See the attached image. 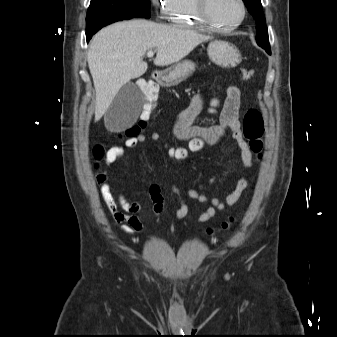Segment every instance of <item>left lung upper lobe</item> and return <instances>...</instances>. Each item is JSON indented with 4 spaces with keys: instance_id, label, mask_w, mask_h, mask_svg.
Masks as SVG:
<instances>
[{
    "instance_id": "1",
    "label": "left lung upper lobe",
    "mask_w": 337,
    "mask_h": 337,
    "mask_svg": "<svg viewBox=\"0 0 337 337\" xmlns=\"http://www.w3.org/2000/svg\"><path fill=\"white\" fill-rule=\"evenodd\" d=\"M248 8V11L253 15L257 22V44L266 50L268 54L271 53L270 44L268 40V31L265 25V16L262 11V5L260 0H243Z\"/></svg>"
}]
</instances>
